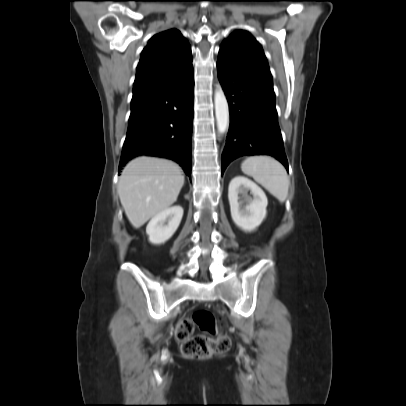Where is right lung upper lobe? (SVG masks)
<instances>
[{"label":"right lung upper lobe","instance_id":"obj_1","mask_svg":"<svg viewBox=\"0 0 406 406\" xmlns=\"http://www.w3.org/2000/svg\"><path fill=\"white\" fill-rule=\"evenodd\" d=\"M192 69L191 47L180 31L154 35L141 54L132 102L166 88Z\"/></svg>","mask_w":406,"mask_h":406}]
</instances>
